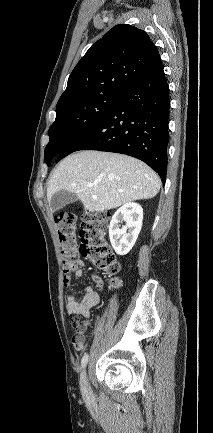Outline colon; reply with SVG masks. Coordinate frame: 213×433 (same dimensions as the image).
I'll return each mask as SVG.
<instances>
[{
    "mask_svg": "<svg viewBox=\"0 0 213 433\" xmlns=\"http://www.w3.org/2000/svg\"><path fill=\"white\" fill-rule=\"evenodd\" d=\"M54 222L59 236L61 255L63 258L64 284L71 283L73 271L78 254L88 258L108 278L110 287H119L121 281L115 277L119 271V263L107 241V229L109 217L104 212L89 213L84 216V221L79 232L80 245L77 246L76 217L68 211L58 212L54 216ZM100 283L99 280H97ZM71 325L80 333L83 323L77 316L71 317Z\"/></svg>",
    "mask_w": 213,
    "mask_h": 433,
    "instance_id": "5ec220e1",
    "label": "colon"
}]
</instances>
